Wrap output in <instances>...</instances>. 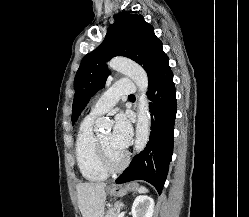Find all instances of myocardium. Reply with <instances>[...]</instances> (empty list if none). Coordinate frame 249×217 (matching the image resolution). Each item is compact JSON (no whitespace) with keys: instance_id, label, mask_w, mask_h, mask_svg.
I'll use <instances>...</instances> for the list:
<instances>
[{"instance_id":"f54148a6","label":"myocardium","mask_w":249,"mask_h":217,"mask_svg":"<svg viewBox=\"0 0 249 217\" xmlns=\"http://www.w3.org/2000/svg\"><path fill=\"white\" fill-rule=\"evenodd\" d=\"M97 147L100 155V159L104 168L111 173L121 171L129 161V154L125 151L122 152L120 159L113 160L99 138H97Z\"/></svg>"}]
</instances>
